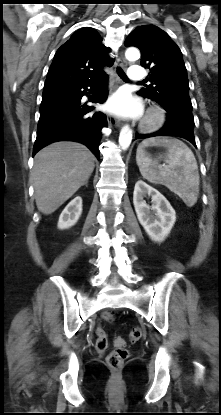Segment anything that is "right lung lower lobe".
<instances>
[{"label": "right lung lower lobe", "mask_w": 221, "mask_h": 415, "mask_svg": "<svg viewBox=\"0 0 221 415\" xmlns=\"http://www.w3.org/2000/svg\"><path fill=\"white\" fill-rule=\"evenodd\" d=\"M101 78L108 77L104 75L93 81L43 90L33 156L50 143L68 140L86 145L100 158L101 129L107 125V118L101 112H94L93 106L83 104L81 99L94 92L89 101H106L107 85L97 90Z\"/></svg>", "instance_id": "obj_1"}]
</instances>
